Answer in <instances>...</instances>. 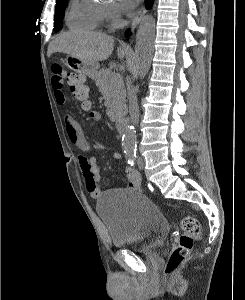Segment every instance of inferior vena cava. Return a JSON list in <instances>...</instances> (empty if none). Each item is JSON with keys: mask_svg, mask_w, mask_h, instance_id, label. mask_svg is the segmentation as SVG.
Returning <instances> with one entry per match:
<instances>
[{"mask_svg": "<svg viewBox=\"0 0 245 300\" xmlns=\"http://www.w3.org/2000/svg\"><path fill=\"white\" fill-rule=\"evenodd\" d=\"M127 95H128V101H129V113L131 121L134 125L138 124L139 121V107L137 103V96L132 88V86H128L127 88Z\"/></svg>", "mask_w": 245, "mask_h": 300, "instance_id": "602c4592", "label": "inferior vena cava"}]
</instances>
